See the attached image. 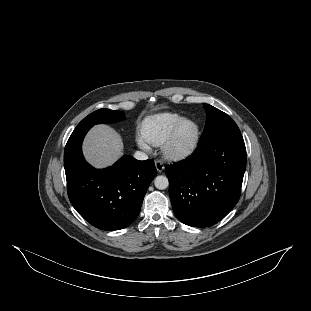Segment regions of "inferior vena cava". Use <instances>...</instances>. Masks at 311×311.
<instances>
[{"label": "inferior vena cava", "mask_w": 311, "mask_h": 311, "mask_svg": "<svg viewBox=\"0 0 311 311\" xmlns=\"http://www.w3.org/2000/svg\"><path fill=\"white\" fill-rule=\"evenodd\" d=\"M134 158L139 160V161H145L148 159V155L144 152H141V151H136L134 153Z\"/></svg>", "instance_id": "602c4592"}]
</instances>
